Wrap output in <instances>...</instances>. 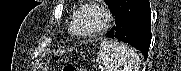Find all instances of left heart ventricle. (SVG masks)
Here are the masks:
<instances>
[{"instance_id":"1","label":"left heart ventricle","mask_w":181,"mask_h":71,"mask_svg":"<svg viewBox=\"0 0 181 71\" xmlns=\"http://www.w3.org/2000/svg\"><path fill=\"white\" fill-rule=\"evenodd\" d=\"M101 23L100 16L92 10H87L80 18L79 29L82 32H90L97 28Z\"/></svg>"}]
</instances>
